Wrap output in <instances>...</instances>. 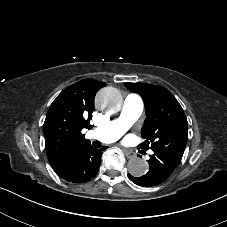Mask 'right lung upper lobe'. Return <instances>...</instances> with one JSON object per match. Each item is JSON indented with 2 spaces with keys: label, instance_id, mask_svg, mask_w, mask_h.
Listing matches in <instances>:
<instances>
[{
  "label": "right lung upper lobe",
  "instance_id": "1",
  "mask_svg": "<svg viewBox=\"0 0 227 227\" xmlns=\"http://www.w3.org/2000/svg\"><path fill=\"white\" fill-rule=\"evenodd\" d=\"M106 84L81 80L64 89L51 104L43 130L45 148L53 170H58L76 150L90 144L82 129H90L94 97Z\"/></svg>",
  "mask_w": 227,
  "mask_h": 227
}]
</instances>
